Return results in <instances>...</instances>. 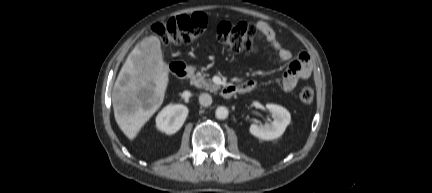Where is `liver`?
<instances>
[{
    "label": "liver",
    "instance_id": "liver-1",
    "mask_svg": "<svg viewBox=\"0 0 432 193\" xmlns=\"http://www.w3.org/2000/svg\"><path fill=\"white\" fill-rule=\"evenodd\" d=\"M168 82L169 67L163 61L159 39L144 38L127 57L112 93L115 120L129 139L160 108Z\"/></svg>",
    "mask_w": 432,
    "mask_h": 193
}]
</instances>
